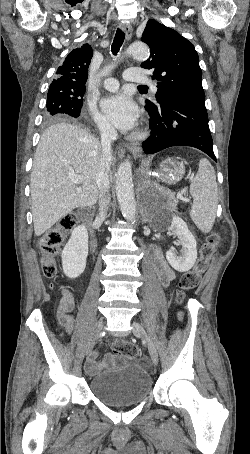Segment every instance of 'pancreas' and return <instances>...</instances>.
<instances>
[{
    "label": "pancreas",
    "instance_id": "obj_1",
    "mask_svg": "<svg viewBox=\"0 0 250 454\" xmlns=\"http://www.w3.org/2000/svg\"><path fill=\"white\" fill-rule=\"evenodd\" d=\"M169 197H170L169 205H170V207L172 209H175L176 208V204H177V200L174 198V196L172 194H170Z\"/></svg>",
    "mask_w": 250,
    "mask_h": 454
}]
</instances>
